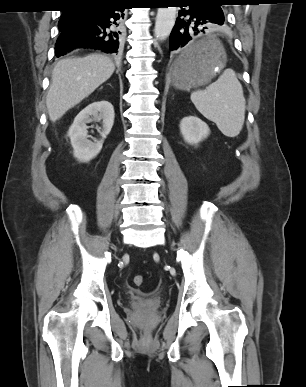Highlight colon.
Masks as SVG:
<instances>
[{
  "label": "colon",
  "instance_id": "5ec220e1",
  "mask_svg": "<svg viewBox=\"0 0 306 387\" xmlns=\"http://www.w3.org/2000/svg\"><path fill=\"white\" fill-rule=\"evenodd\" d=\"M133 283L135 284V286L141 287L145 283V279L142 275H136L133 278Z\"/></svg>",
  "mask_w": 306,
  "mask_h": 387
}]
</instances>
